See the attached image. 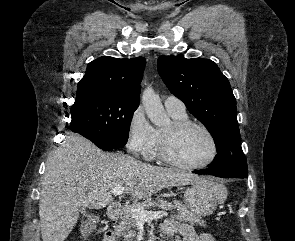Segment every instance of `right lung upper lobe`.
I'll list each match as a JSON object with an SVG mask.
<instances>
[{"mask_svg": "<svg viewBox=\"0 0 295 241\" xmlns=\"http://www.w3.org/2000/svg\"><path fill=\"white\" fill-rule=\"evenodd\" d=\"M146 60L143 57L117 59L103 56L87 66L84 77L78 83L77 97L101 91L111 96L139 103L140 82Z\"/></svg>", "mask_w": 295, "mask_h": 241, "instance_id": "1", "label": "right lung upper lobe"}]
</instances>
